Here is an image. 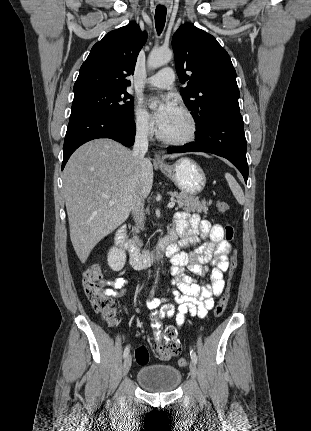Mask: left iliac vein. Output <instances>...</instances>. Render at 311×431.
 <instances>
[{
    "instance_id": "left-iliac-vein-1",
    "label": "left iliac vein",
    "mask_w": 311,
    "mask_h": 431,
    "mask_svg": "<svg viewBox=\"0 0 311 431\" xmlns=\"http://www.w3.org/2000/svg\"><path fill=\"white\" fill-rule=\"evenodd\" d=\"M189 368H190V374H191V376H192L193 378H195V377H196V375H197V367H196V363H195L194 361H191V362H190V365H189Z\"/></svg>"
}]
</instances>
